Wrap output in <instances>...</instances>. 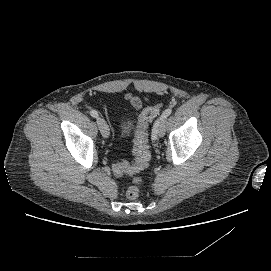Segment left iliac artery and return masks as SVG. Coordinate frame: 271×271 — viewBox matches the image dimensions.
Returning a JSON list of instances; mask_svg holds the SVG:
<instances>
[{
  "label": "left iliac artery",
  "mask_w": 271,
  "mask_h": 271,
  "mask_svg": "<svg viewBox=\"0 0 271 271\" xmlns=\"http://www.w3.org/2000/svg\"><path fill=\"white\" fill-rule=\"evenodd\" d=\"M171 113H172V109H171V108L166 109V110L162 113V115L160 116V118L155 122V124L153 125L152 135H151L152 141H155V140L157 139L158 126H159L160 120L166 119Z\"/></svg>",
  "instance_id": "44dca946"
}]
</instances>
